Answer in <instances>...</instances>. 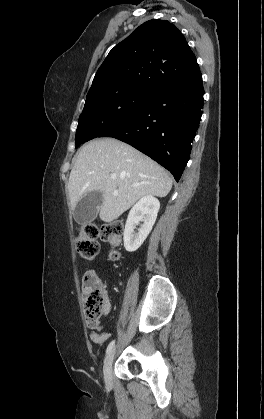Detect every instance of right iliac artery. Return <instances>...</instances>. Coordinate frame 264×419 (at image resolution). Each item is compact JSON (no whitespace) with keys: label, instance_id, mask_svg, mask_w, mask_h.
Returning a JSON list of instances; mask_svg holds the SVG:
<instances>
[{"label":"right iliac artery","instance_id":"82829eb1","mask_svg":"<svg viewBox=\"0 0 264 419\" xmlns=\"http://www.w3.org/2000/svg\"><path fill=\"white\" fill-rule=\"evenodd\" d=\"M114 345H115V340L109 343L106 352L109 353L113 349Z\"/></svg>","mask_w":264,"mask_h":419}]
</instances>
